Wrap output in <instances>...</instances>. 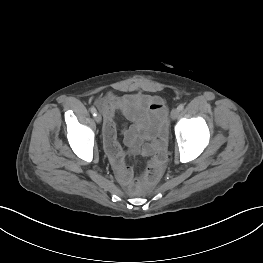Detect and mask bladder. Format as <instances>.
<instances>
[{
    "instance_id": "bladder-1",
    "label": "bladder",
    "mask_w": 263,
    "mask_h": 263,
    "mask_svg": "<svg viewBox=\"0 0 263 263\" xmlns=\"http://www.w3.org/2000/svg\"><path fill=\"white\" fill-rule=\"evenodd\" d=\"M133 110L138 114H144L146 115L147 110L143 107H134Z\"/></svg>"
}]
</instances>
